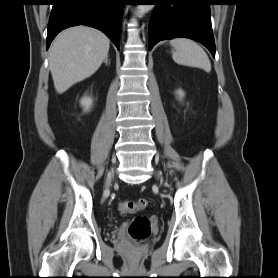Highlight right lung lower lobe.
I'll return each instance as SVG.
<instances>
[{"label": "right lung lower lobe", "instance_id": "right-lung-lower-lobe-1", "mask_svg": "<svg viewBox=\"0 0 278 278\" xmlns=\"http://www.w3.org/2000/svg\"><path fill=\"white\" fill-rule=\"evenodd\" d=\"M125 0H53L46 49L63 29L88 25L103 31L119 49Z\"/></svg>", "mask_w": 278, "mask_h": 278}]
</instances>
